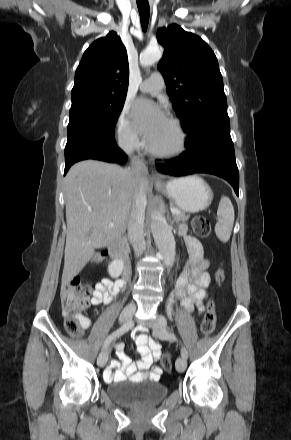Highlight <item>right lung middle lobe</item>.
<instances>
[{
	"label": "right lung middle lobe",
	"mask_w": 291,
	"mask_h": 440,
	"mask_svg": "<svg viewBox=\"0 0 291 440\" xmlns=\"http://www.w3.org/2000/svg\"><path fill=\"white\" fill-rule=\"evenodd\" d=\"M124 98L82 99L72 102L68 136L77 133L113 138Z\"/></svg>",
	"instance_id": "obj_1"
}]
</instances>
